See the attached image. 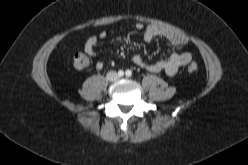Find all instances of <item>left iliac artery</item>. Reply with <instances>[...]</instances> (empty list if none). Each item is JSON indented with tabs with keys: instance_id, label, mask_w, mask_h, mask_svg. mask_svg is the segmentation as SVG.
<instances>
[{
	"instance_id": "44dca946",
	"label": "left iliac artery",
	"mask_w": 248,
	"mask_h": 165,
	"mask_svg": "<svg viewBox=\"0 0 248 165\" xmlns=\"http://www.w3.org/2000/svg\"><path fill=\"white\" fill-rule=\"evenodd\" d=\"M125 74L127 77H130L132 75V72L130 70H127Z\"/></svg>"
}]
</instances>
